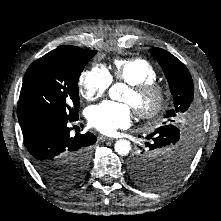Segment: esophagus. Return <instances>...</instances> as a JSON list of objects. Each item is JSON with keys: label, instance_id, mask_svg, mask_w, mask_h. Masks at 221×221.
Segmentation results:
<instances>
[{"label": "esophagus", "instance_id": "34e87169", "mask_svg": "<svg viewBox=\"0 0 221 221\" xmlns=\"http://www.w3.org/2000/svg\"><path fill=\"white\" fill-rule=\"evenodd\" d=\"M98 138H99L101 141H110V140H112L111 138L106 137V136H103V135H100Z\"/></svg>", "mask_w": 221, "mask_h": 221}]
</instances>
